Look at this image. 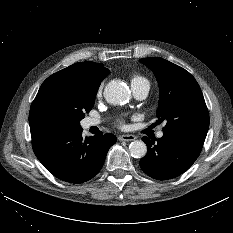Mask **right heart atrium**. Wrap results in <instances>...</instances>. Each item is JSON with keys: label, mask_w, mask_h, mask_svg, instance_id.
Listing matches in <instances>:
<instances>
[{"label": "right heart atrium", "mask_w": 233, "mask_h": 233, "mask_svg": "<svg viewBox=\"0 0 233 233\" xmlns=\"http://www.w3.org/2000/svg\"><path fill=\"white\" fill-rule=\"evenodd\" d=\"M103 85H100L97 91V97H100L102 95Z\"/></svg>", "instance_id": "1"}]
</instances>
